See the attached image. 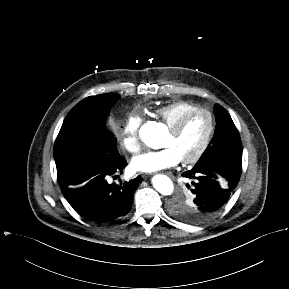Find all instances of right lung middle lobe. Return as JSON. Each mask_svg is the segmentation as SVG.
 I'll list each match as a JSON object with an SVG mask.
<instances>
[{"instance_id":"obj_1","label":"right lung middle lobe","mask_w":289,"mask_h":289,"mask_svg":"<svg viewBox=\"0 0 289 289\" xmlns=\"http://www.w3.org/2000/svg\"><path fill=\"white\" fill-rule=\"evenodd\" d=\"M116 93L90 96L66 116L54 146L56 165L76 158L104 159L119 155L116 139L103 127Z\"/></svg>"}]
</instances>
